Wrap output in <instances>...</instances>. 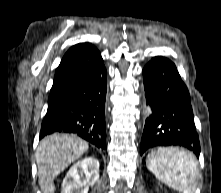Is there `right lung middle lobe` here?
I'll return each mask as SVG.
<instances>
[{
  "label": "right lung middle lobe",
  "instance_id": "obj_1",
  "mask_svg": "<svg viewBox=\"0 0 221 193\" xmlns=\"http://www.w3.org/2000/svg\"><path fill=\"white\" fill-rule=\"evenodd\" d=\"M57 108H58V105L56 102H48L47 114H50V113L56 111Z\"/></svg>",
  "mask_w": 221,
  "mask_h": 193
}]
</instances>
